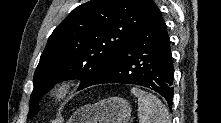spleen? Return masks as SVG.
Segmentation results:
<instances>
[{"label":"spleen","instance_id":"spleen-1","mask_svg":"<svg viewBox=\"0 0 221 123\" xmlns=\"http://www.w3.org/2000/svg\"><path fill=\"white\" fill-rule=\"evenodd\" d=\"M131 93L138 98L140 123H171L167 108L156 96L136 87Z\"/></svg>","mask_w":221,"mask_h":123}]
</instances>
